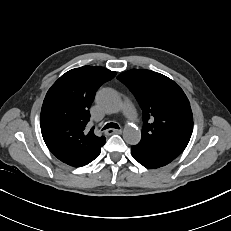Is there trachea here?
<instances>
[{"label": "trachea", "mask_w": 231, "mask_h": 231, "mask_svg": "<svg viewBox=\"0 0 231 231\" xmlns=\"http://www.w3.org/2000/svg\"><path fill=\"white\" fill-rule=\"evenodd\" d=\"M109 128L120 129L118 124H116V123H108L103 127L102 130H106V129H109Z\"/></svg>", "instance_id": "3493384b"}]
</instances>
